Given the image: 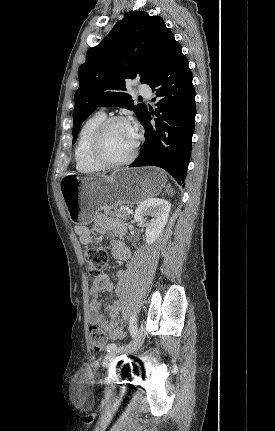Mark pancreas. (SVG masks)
Returning <instances> with one entry per match:
<instances>
[{
	"label": "pancreas",
	"instance_id": "1",
	"mask_svg": "<svg viewBox=\"0 0 275 431\" xmlns=\"http://www.w3.org/2000/svg\"><path fill=\"white\" fill-rule=\"evenodd\" d=\"M121 205L120 206H114L113 207V209H114V212H111V207H107V206H104L102 209L107 213V214H110V215H112V216H114V217H117V218H122V219H127V218H129L130 216H129V214L127 213V211L126 210H122L121 209Z\"/></svg>",
	"mask_w": 275,
	"mask_h": 431
}]
</instances>
